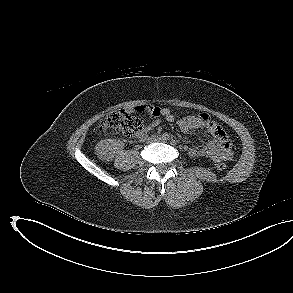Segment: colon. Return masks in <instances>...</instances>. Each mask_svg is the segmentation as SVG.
<instances>
[{
	"label": "colon",
	"instance_id": "1",
	"mask_svg": "<svg viewBox=\"0 0 293 293\" xmlns=\"http://www.w3.org/2000/svg\"><path fill=\"white\" fill-rule=\"evenodd\" d=\"M143 127L141 118L124 110L113 111L109 113L99 124L101 132L112 134H121L127 137L133 136ZM215 167L219 171L227 169V165L223 162H218Z\"/></svg>",
	"mask_w": 293,
	"mask_h": 293
}]
</instances>
